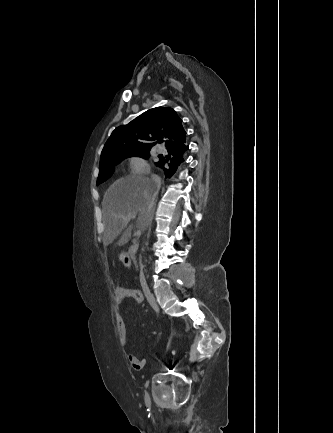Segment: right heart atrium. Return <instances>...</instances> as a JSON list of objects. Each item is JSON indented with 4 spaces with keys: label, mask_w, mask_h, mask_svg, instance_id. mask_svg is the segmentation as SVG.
Here are the masks:
<instances>
[{
    "label": "right heart atrium",
    "mask_w": 333,
    "mask_h": 433,
    "mask_svg": "<svg viewBox=\"0 0 333 433\" xmlns=\"http://www.w3.org/2000/svg\"><path fill=\"white\" fill-rule=\"evenodd\" d=\"M127 170L132 175H144L149 171L147 160L140 155H132L127 159Z\"/></svg>",
    "instance_id": "d8ad5b80"
}]
</instances>
